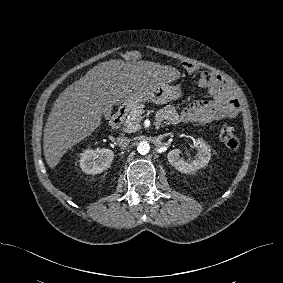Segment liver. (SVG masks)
Segmentation results:
<instances>
[{"label": "liver", "mask_w": 283, "mask_h": 283, "mask_svg": "<svg viewBox=\"0 0 283 283\" xmlns=\"http://www.w3.org/2000/svg\"><path fill=\"white\" fill-rule=\"evenodd\" d=\"M175 68L149 61L110 60L90 69L56 99L43 136L44 156L53 169L74 145L101 124L105 111L137 94L176 80Z\"/></svg>", "instance_id": "obj_1"}]
</instances>
